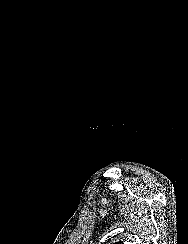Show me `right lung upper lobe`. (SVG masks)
<instances>
[{
  "mask_svg": "<svg viewBox=\"0 0 188 244\" xmlns=\"http://www.w3.org/2000/svg\"><path fill=\"white\" fill-rule=\"evenodd\" d=\"M115 244H121V242H116Z\"/></svg>",
  "mask_w": 188,
  "mask_h": 244,
  "instance_id": "1",
  "label": "right lung upper lobe"
}]
</instances>
